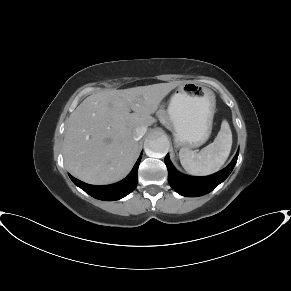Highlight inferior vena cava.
<instances>
[{
	"instance_id": "602c4592",
	"label": "inferior vena cava",
	"mask_w": 291,
	"mask_h": 291,
	"mask_svg": "<svg viewBox=\"0 0 291 291\" xmlns=\"http://www.w3.org/2000/svg\"><path fill=\"white\" fill-rule=\"evenodd\" d=\"M146 128L145 127H138L133 131V138L138 141L140 140L144 134L146 133Z\"/></svg>"
}]
</instances>
